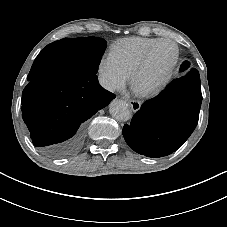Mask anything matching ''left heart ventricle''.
<instances>
[{
  "label": "left heart ventricle",
  "instance_id": "1",
  "mask_svg": "<svg viewBox=\"0 0 227 227\" xmlns=\"http://www.w3.org/2000/svg\"><path fill=\"white\" fill-rule=\"evenodd\" d=\"M176 54L172 43L165 42L157 46L147 67L135 79V86L147 90L158 83L164 76Z\"/></svg>",
  "mask_w": 227,
  "mask_h": 227
}]
</instances>
